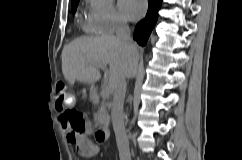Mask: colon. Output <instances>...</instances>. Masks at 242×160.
Listing matches in <instances>:
<instances>
[{"label": "colon", "instance_id": "colon-1", "mask_svg": "<svg viewBox=\"0 0 242 160\" xmlns=\"http://www.w3.org/2000/svg\"><path fill=\"white\" fill-rule=\"evenodd\" d=\"M73 98L68 90V87L63 82H58L56 85L55 106L61 113V118L69 125L72 132L82 133L86 126V119L84 115L71 107ZM97 147L93 149L90 154L95 155Z\"/></svg>", "mask_w": 242, "mask_h": 160}]
</instances>
